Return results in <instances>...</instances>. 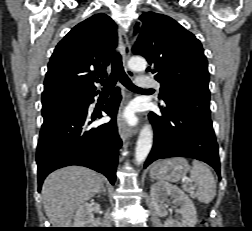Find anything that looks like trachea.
<instances>
[{"mask_svg": "<svg viewBox=\"0 0 252 231\" xmlns=\"http://www.w3.org/2000/svg\"><path fill=\"white\" fill-rule=\"evenodd\" d=\"M120 80V82L129 90L131 91H148L146 89H141L137 86H135L131 80L128 78L127 74L124 71L123 65H122V58L120 53H116L113 61H112V72L110 74V77H108L105 80H100L99 82L103 86V92H110L116 82Z\"/></svg>", "mask_w": 252, "mask_h": 231, "instance_id": "trachea-1", "label": "trachea"}]
</instances>
